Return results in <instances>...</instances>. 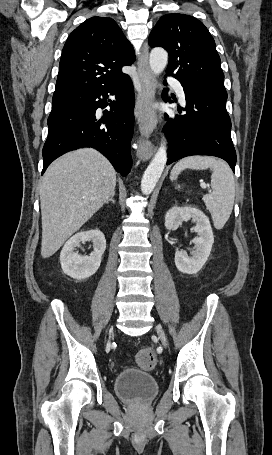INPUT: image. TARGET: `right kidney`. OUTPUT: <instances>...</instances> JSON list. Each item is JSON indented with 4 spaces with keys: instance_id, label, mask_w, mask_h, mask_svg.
<instances>
[{
    "instance_id": "ca27d5eb",
    "label": "right kidney",
    "mask_w": 272,
    "mask_h": 455,
    "mask_svg": "<svg viewBox=\"0 0 272 455\" xmlns=\"http://www.w3.org/2000/svg\"><path fill=\"white\" fill-rule=\"evenodd\" d=\"M92 241L94 251L89 256H80L74 252L81 242ZM106 249V240L100 230H89L75 234L64 245L60 253L63 272L77 280L86 279L96 273Z\"/></svg>"
}]
</instances>
